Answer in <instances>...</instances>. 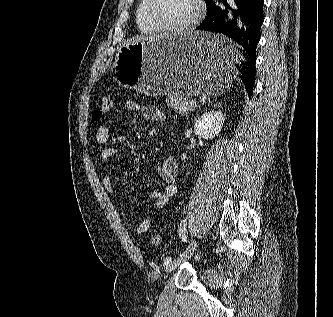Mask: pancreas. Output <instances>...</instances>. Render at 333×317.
I'll return each mask as SVG.
<instances>
[{"label":"pancreas","instance_id":"obj_1","mask_svg":"<svg viewBox=\"0 0 333 317\" xmlns=\"http://www.w3.org/2000/svg\"><path fill=\"white\" fill-rule=\"evenodd\" d=\"M166 103L180 115L187 114L189 111L194 110L197 107L194 104H190V100L177 95L169 96V98L166 99Z\"/></svg>","mask_w":333,"mask_h":317}]
</instances>
